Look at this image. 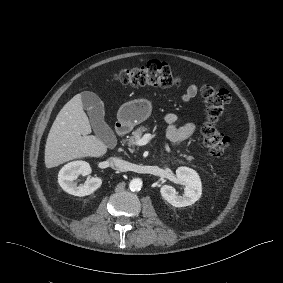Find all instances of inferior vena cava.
Masks as SVG:
<instances>
[{"label":"inferior vena cava","mask_w":283,"mask_h":283,"mask_svg":"<svg viewBox=\"0 0 283 283\" xmlns=\"http://www.w3.org/2000/svg\"><path fill=\"white\" fill-rule=\"evenodd\" d=\"M110 163H111V166L116 169V170H120V171H123L124 168H123V165H124V162L118 158H112L110 160Z\"/></svg>","instance_id":"obj_1"}]
</instances>
